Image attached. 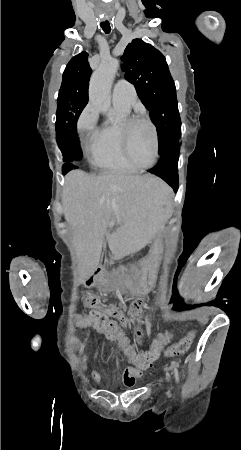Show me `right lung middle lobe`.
<instances>
[{
  "instance_id": "dd1d6c3e",
  "label": "right lung middle lobe",
  "mask_w": 241,
  "mask_h": 450,
  "mask_svg": "<svg viewBox=\"0 0 241 450\" xmlns=\"http://www.w3.org/2000/svg\"><path fill=\"white\" fill-rule=\"evenodd\" d=\"M90 77L74 79L62 82L57 100L56 113V139L60 145L63 160L67 163L63 165V174L74 169L71 164H75L82 158V154L74 157L67 156L66 134L72 121L79 117L80 113L88 102V87Z\"/></svg>"
}]
</instances>
